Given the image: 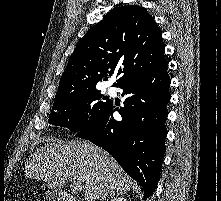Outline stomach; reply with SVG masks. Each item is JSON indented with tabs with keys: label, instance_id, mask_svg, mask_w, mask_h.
<instances>
[{
	"label": "stomach",
	"instance_id": "1",
	"mask_svg": "<svg viewBox=\"0 0 221 201\" xmlns=\"http://www.w3.org/2000/svg\"><path fill=\"white\" fill-rule=\"evenodd\" d=\"M52 188H53V187H50V186L47 185V186L45 187L46 194H47L49 197L56 198V197H57V194H56V192H54V191L52 190Z\"/></svg>",
	"mask_w": 221,
	"mask_h": 201
}]
</instances>
